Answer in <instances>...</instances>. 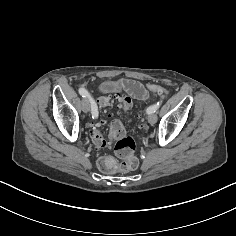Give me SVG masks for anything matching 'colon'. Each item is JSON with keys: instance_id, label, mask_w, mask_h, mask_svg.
I'll use <instances>...</instances> for the list:
<instances>
[{"instance_id": "obj_1", "label": "colon", "mask_w": 236, "mask_h": 236, "mask_svg": "<svg viewBox=\"0 0 236 236\" xmlns=\"http://www.w3.org/2000/svg\"><path fill=\"white\" fill-rule=\"evenodd\" d=\"M139 88L137 84L130 86L132 91H136ZM145 88L153 94L164 95L169 93L166 88L156 84H147ZM98 105L101 109L116 107L123 112H127L132 107V100L123 94H109L101 96L98 99ZM103 122V119H98L93 125L91 132L92 141L97 147H105L112 144L116 155L122 162L118 163L111 156H102L98 161L100 170L106 173L135 170L138 167V159L135 156L136 145L134 139L127 134L123 123L119 120H113L110 123L108 139H106L100 130Z\"/></svg>"}]
</instances>
